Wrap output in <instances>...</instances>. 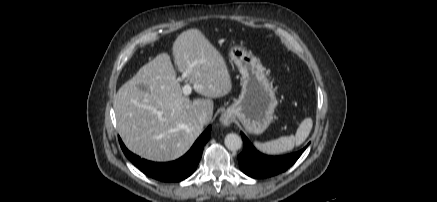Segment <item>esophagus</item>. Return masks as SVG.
Instances as JSON below:
<instances>
[{
    "label": "esophagus",
    "instance_id": "esophagus-1",
    "mask_svg": "<svg viewBox=\"0 0 437 202\" xmlns=\"http://www.w3.org/2000/svg\"><path fill=\"white\" fill-rule=\"evenodd\" d=\"M232 119H233V117H232L231 113H229V112H224V113L221 115V117H220V122H221L223 125L228 126V125H230V123L232 122Z\"/></svg>",
    "mask_w": 437,
    "mask_h": 202
}]
</instances>
